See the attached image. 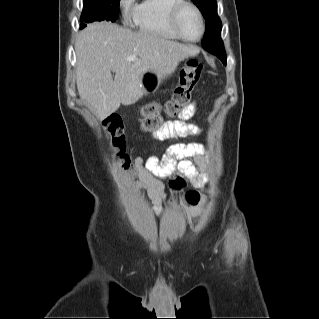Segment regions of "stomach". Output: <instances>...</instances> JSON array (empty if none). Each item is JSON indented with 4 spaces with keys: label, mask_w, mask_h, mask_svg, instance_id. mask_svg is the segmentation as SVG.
Segmentation results:
<instances>
[{
    "label": "stomach",
    "mask_w": 319,
    "mask_h": 319,
    "mask_svg": "<svg viewBox=\"0 0 319 319\" xmlns=\"http://www.w3.org/2000/svg\"><path fill=\"white\" fill-rule=\"evenodd\" d=\"M140 82L144 94H150L158 89L161 83V77L155 71L147 70L141 74Z\"/></svg>",
    "instance_id": "0dacf381"
}]
</instances>
